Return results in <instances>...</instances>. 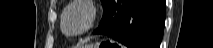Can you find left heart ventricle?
<instances>
[{
    "label": "left heart ventricle",
    "mask_w": 213,
    "mask_h": 48,
    "mask_svg": "<svg viewBox=\"0 0 213 48\" xmlns=\"http://www.w3.org/2000/svg\"><path fill=\"white\" fill-rule=\"evenodd\" d=\"M89 13L83 7H74L68 11L65 17V30L69 33L82 31L88 24Z\"/></svg>",
    "instance_id": "obj_1"
}]
</instances>
